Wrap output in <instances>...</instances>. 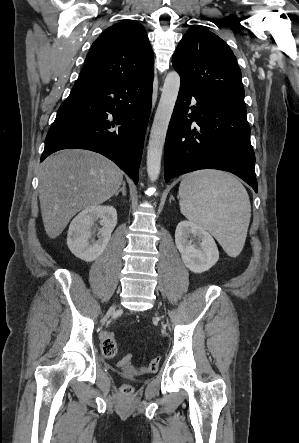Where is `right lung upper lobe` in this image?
I'll return each instance as SVG.
<instances>
[{"mask_svg": "<svg viewBox=\"0 0 299 443\" xmlns=\"http://www.w3.org/2000/svg\"><path fill=\"white\" fill-rule=\"evenodd\" d=\"M154 74L152 48L140 23L126 20L107 28L93 43L76 86H100Z\"/></svg>", "mask_w": 299, "mask_h": 443, "instance_id": "right-lung-upper-lobe-1", "label": "right lung upper lobe"}]
</instances>
